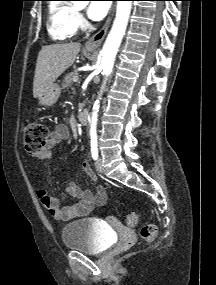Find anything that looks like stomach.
<instances>
[{"label":"stomach","mask_w":216,"mask_h":285,"mask_svg":"<svg viewBox=\"0 0 216 285\" xmlns=\"http://www.w3.org/2000/svg\"><path fill=\"white\" fill-rule=\"evenodd\" d=\"M61 93V88L57 83H53L48 89L38 96L39 103L43 106L54 105Z\"/></svg>","instance_id":"1"}]
</instances>
